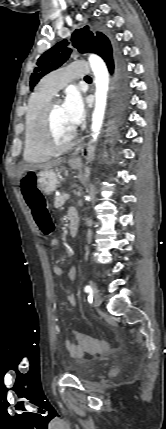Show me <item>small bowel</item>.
<instances>
[{
  "label": "small bowel",
  "instance_id": "1",
  "mask_svg": "<svg viewBox=\"0 0 166 429\" xmlns=\"http://www.w3.org/2000/svg\"><path fill=\"white\" fill-rule=\"evenodd\" d=\"M50 246L52 248H57L59 246V240L57 238L51 239ZM52 271L56 276L67 275V277L71 281L76 280V277H77V270L75 267H70L67 270H65L60 266H53ZM68 302L70 303L71 306L73 307L76 306V301L72 294L68 295ZM64 346L70 352L71 356L74 358L82 359L85 355V351L83 347L73 344L68 340L64 341Z\"/></svg>",
  "mask_w": 166,
  "mask_h": 429
}]
</instances>
